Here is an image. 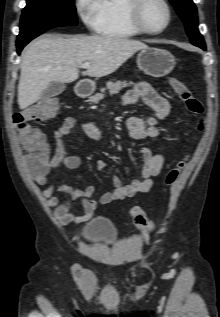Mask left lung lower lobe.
Instances as JSON below:
<instances>
[{"mask_svg": "<svg viewBox=\"0 0 220 317\" xmlns=\"http://www.w3.org/2000/svg\"><path fill=\"white\" fill-rule=\"evenodd\" d=\"M200 48H202L203 50H206L205 46H201Z\"/></svg>", "mask_w": 220, "mask_h": 317, "instance_id": "left-lung-lower-lobe-1", "label": "left lung lower lobe"}]
</instances>
